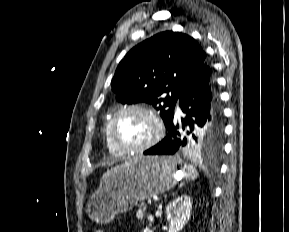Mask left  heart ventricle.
Instances as JSON below:
<instances>
[{"mask_svg": "<svg viewBox=\"0 0 289 232\" xmlns=\"http://www.w3.org/2000/svg\"><path fill=\"white\" fill-rule=\"evenodd\" d=\"M153 131L152 121L139 111H129L121 114L115 125L117 141L124 146L130 147L147 142Z\"/></svg>", "mask_w": 289, "mask_h": 232, "instance_id": "left-heart-ventricle-1", "label": "left heart ventricle"}]
</instances>
